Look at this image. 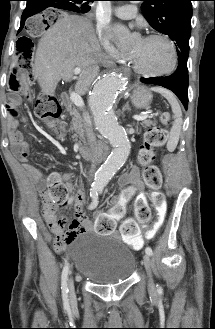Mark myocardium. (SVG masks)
I'll return each mask as SVG.
<instances>
[{
	"label": "myocardium",
	"instance_id": "myocardium-1",
	"mask_svg": "<svg viewBox=\"0 0 215 329\" xmlns=\"http://www.w3.org/2000/svg\"><path fill=\"white\" fill-rule=\"evenodd\" d=\"M145 39H148V40H151V39H160V40H164L165 42L168 43V45L170 46L171 50H172V53H173V62H172V65L166 69V70H163V71H159V72H149V71H146L144 70L139 64L138 62L136 61L135 57L130 55V63L133 67V69L143 75V76H146V77H152V78H156V77H163V76H166V75H169L171 74L172 72L175 71V69L177 68V65H178V61H179V54H178V49L176 47V44L174 43V41L164 35V34H150L148 35L147 37H145Z\"/></svg>",
	"mask_w": 215,
	"mask_h": 329
}]
</instances>
